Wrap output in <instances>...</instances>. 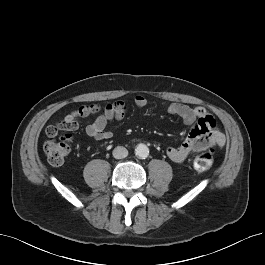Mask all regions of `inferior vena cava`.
I'll use <instances>...</instances> for the list:
<instances>
[{
  "label": "inferior vena cava",
  "mask_w": 265,
  "mask_h": 265,
  "mask_svg": "<svg viewBox=\"0 0 265 265\" xmlns=\"http://www.w3.org/2000/svg\"><path fill=\"white\" fill-rule=\"evenodd\" d=\"M127 155H128V150L123 146H117L113 150V157L116 159H123L127 157Z\"/></svg>",
  "instance_id": "inferior-vena-cava-1"
}]
</instances>
